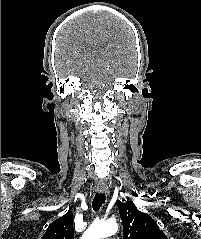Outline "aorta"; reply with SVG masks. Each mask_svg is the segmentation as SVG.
Returning <instances> with one entry per match:
<instances>
[{
    "mask_svg": "<svg viewBox=\"0 0 201 239\" xmlns=\"http://www.w3.org/2000/svg\"><path fill=\"white\" fill-rule=\"evenodd\" d=\"M118 231L115 221H106L92 224L81 239H102L114 235Z\"/></svg>",
    "mask_w": 201,
    "mask_h": 239,
    "instance_id": "aorta-1",
    "label": "aorta"
}]
</instances>
